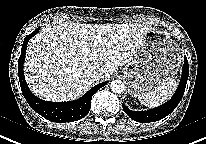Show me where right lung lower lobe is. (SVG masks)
<instances>
[{
	"instance_id": "right-lung-lower-lobe-1",
	"label": "right lung lower lobe",
	"mask_w": 206,
	"mask_h": 144,
	"mask_svg": "<svg viewBox=\"0 0 206 144\" xmlns=\"http://www.w3.org/2000/svg\"><path fill=\"white\" fill-rule=\"evenodd\" d=\"M40 30L38 27L34 32L27 35L22 45L21 55L18 60V75L21 90L28 104L45 119L52 122H73L85 117L91 107V99L94 93L108 83H100L91 88L86 94L75 101L68 102H48L39 99L29 90L24 77L23 63L25 58L26 47L29 40Z\"/></svg>"
}]
</instances>
